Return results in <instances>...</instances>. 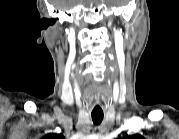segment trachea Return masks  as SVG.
<instances>
[{
    "mask_svg": "<svg viewBox=\"0 0 179 139\" xmlns=\"http://www.w3.org/2000/svg\"><path fill=\"white\" fill-rule=\"evenodd\" d=\"M103 116H104V114L102 111H96V112L93 111L91 113V117H92L93 123L95 125H99L102 122Z\"/></svg>",
    "mask_w": 179,
    "mask_h": 139,
    "instance_id": "obj_1",
    "label": "trachea"
}]
</instances>
